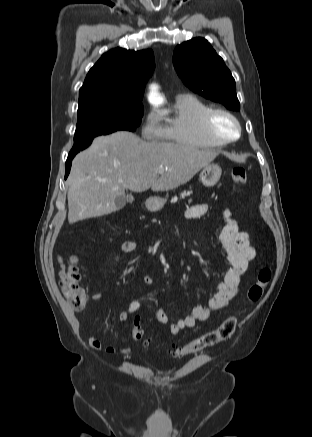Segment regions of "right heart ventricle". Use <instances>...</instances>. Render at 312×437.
Segmentation results:
<instances>
[{"instance_id": "e07e8e85", "label": "right heart ventricle", "mask_w": 312, "mask_h": 437, "mask_svg": "<svg viewBox=\"0 0 312 437\" xmlns=\"http://www.w3.org/2000/svg\"><path fill=\"white\" fill-rule=\"evenodd\" d=\"M211 107L192 95L179 96L173 105V114L163 128L167 143L193 147L215 148L220 145L211 141L203 132L202 117Z\"/></svg>"}]
</instances>
